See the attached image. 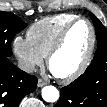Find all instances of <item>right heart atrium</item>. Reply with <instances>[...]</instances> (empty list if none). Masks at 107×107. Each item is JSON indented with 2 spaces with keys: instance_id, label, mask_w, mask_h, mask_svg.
Returning <instances> with one entry per match:
<instances>
[{
  "instance_id": "right-heart-atrium-1",
  "label": "right heart atrium",
  "mask_w": 107,
  "mask_h": 107,
  "mask_svg": "<svg viewBox=\"0 0 107 107\" xmlns=\"http://www.w3.org/2000/svg\"><path fill=\"white\" fill-rule=\"evenodd\" d=\"M12 50L20 67L26 72H33L43 64L44 56L27 37L16 36L12 41Z\"/></svg>"
}]
</instances>
